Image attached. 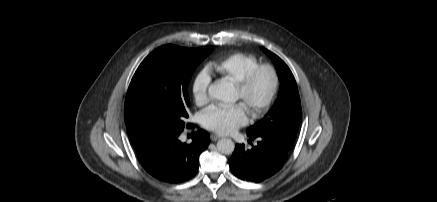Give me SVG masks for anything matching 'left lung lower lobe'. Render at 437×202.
<instances>
[{
    "label": "left lung lower lobe",
    "mask_w": 437,
    "mask_h": 202,
    "mask_svg": "<svg viewBox=\"0 0 437 202\" xmlns=\"http://www.w3.org/2000/svg\"><path fill=\"white\" fill-rule=\"evenodd\" d=\"M257 145L246 148L238 144L229 160L232 173L242 180L261 182L278 172L287 159L289 149L276 140L262 135L247 133Z\"/></svg>",
    "instance_id": "left-lung-lower-lobe-1"
}]
</instances>
